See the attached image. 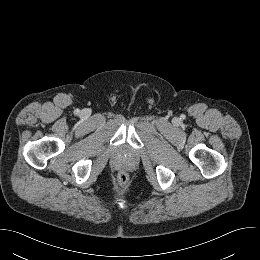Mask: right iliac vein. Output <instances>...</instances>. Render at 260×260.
<instances>
[{"label": "right iliac vein", "instance_id": "63e3f726", "mask_svg": "<svg viewBox=\"0 0 260 260\" xmlns=\"http://www.w3.org/2000/svg\"><path fill=\"white\" fill-rule=\"evenodd\" d=\"M82 115L88 116V112H87V111H83V112H82Z\"/></svg>", "mask_w": 260, "mask_h": 260}]
</instances>
